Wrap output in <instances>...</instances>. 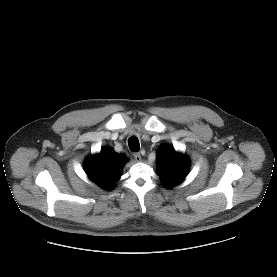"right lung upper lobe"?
<instances>
[{
    "label": "right lung upper lobe",
    "mask_w": 277,
    "mask_h": 277,
    "mask_svg": "<svg viewBox=\"0 0 277 277\" xmlns=\"http://www.w3.org/2000/svg\"><path fill=\"white\" fill-rule=\"evenodd\" d=\"M127 159L112 148L102 149L97 155L88 157L84 169L88 177L107 190L113 189L121 177V167Z\"/></svg>",
    "instance_id": "1"
}]
</instances>
